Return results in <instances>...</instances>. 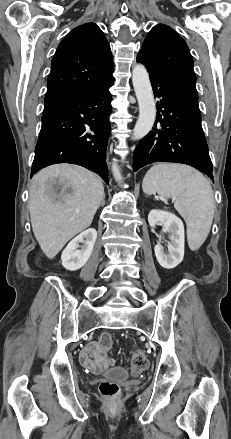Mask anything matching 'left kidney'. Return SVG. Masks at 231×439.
<instances>
[{
  "label": "left kidney",
  "instance_id": "obj_1",
  "mask_svg": "<svg viewBox=\"0 0 231 439\" xmlns=\"http://www.w3.org/2000/svg\"><path fill=\"white\" fill-rule=\"evenodd\" d=\"M151 227L163 225V230L169 233L168 252L164 251L161 244L154 248L155 256L159 264L166 269H172L182 262L184 257V225L179 217L170 212L151 210L148 215Z\"/></svg>",
  "mask_w": 231,
  "mask_h": 439
}]
</instances>
